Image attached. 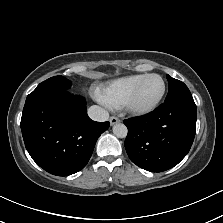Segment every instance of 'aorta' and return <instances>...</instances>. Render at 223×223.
<instances>
[{"instance_id": "aorta-1", "label": "aorta", "mask_w": 223, "mask_h": 223, "mask_svg": "<svg viewBox=\"0 0 223 223\" xmlns=\"http://www.w3.org/2000/svg\"><path fill=\"white\" fill-rule=\"evenodd\" d=\"M112 131L117 137H125L127 135V127L123 123L113 125Z\"/></svg>"}]
</instances>
